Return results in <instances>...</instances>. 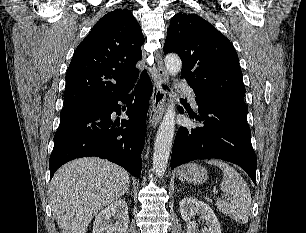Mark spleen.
<instances>
[{
	"label": "spleen",
	"instance_id": "3e777b00",
	"mask_svg": "<svg viewBox=\"0 0 306 233\" xmlns=\"http://www.w3.org/2000/svg\"><path fill=\"white\" fill-rule=\"evenodd\" d=\"M207 163L218 166L222 170L224 177L220 183V189L233 198L232 202L217 199V208L234 221L246 224L252 210L251 192L247 183L229 164L220 160H209Z\"/></svg>",
	"mask_w": 306,
	"mask_h": 233
}]
</instances>
